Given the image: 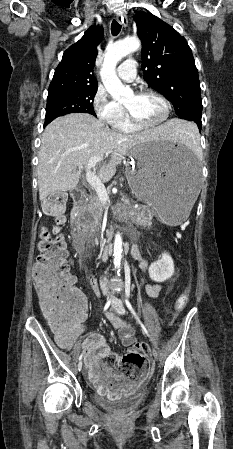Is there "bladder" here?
Returning <instances> with one entry per match:
<instances>
[{
	"label": "bladder",
	"mask_w": 233,
	"mask_h": 449,
	"mask_svg": "<svg viewBox=\"0 0 233 449\" xmlns=\"http://www.w3.org/2000/svg\"><path fill=\"white\" fill-rule=\"evenodd\" d=\"M144 399H145L144 393H138L136 395H133L130 397H124V398H121L118 400H109V399L103 398L102 396H100L98 394L95 395V400L100 406H102L106 409H109L111 411H117V412L128 411V410L134 409L135 407L140 405Z\"/></svg>",
	"instance_id": "bladder-1"
}]
</instances>
